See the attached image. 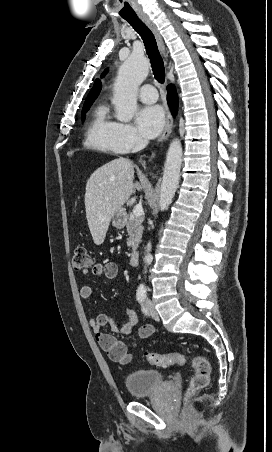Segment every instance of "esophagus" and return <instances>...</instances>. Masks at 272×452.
Returning a JSON list of instances; mask_svg holds the SVG:
<instances>
[{
	"label": "esophagus",
	"instance_id": "obj_1",
	"mask_svg": "<svg viewBox=\"0 0 272 452\" xmlns=\"http://www.w3.org/2000/svg\"><path fill=\"white\" fill-rule=\"evenodd\" d=\"M139 18L152 30L161 53L167 59L165 45H164L162 36H161L159 30L157 29L156 25L146 15L141 14V15H139ZM172 128H173V118H172L171 113L168 112L167 117H166V125H165L164 131H163L161 137L159 138V141H158L159 143L165 141L168 138V136L170 135V133L172 131ZM154 156H155V154H153L151 156L150 160H152L154 158Z\"/></svg>",
	"mask_w": 272,
	"mask_h": 452
}]
</instances>
